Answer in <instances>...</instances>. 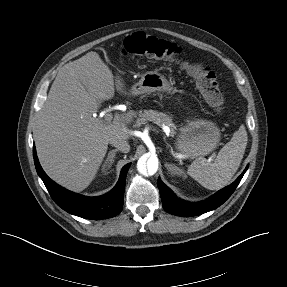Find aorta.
Returning a JSON list of instances; mask_svg holds the SVG:
<instances>
[{"instance_id": "obj_1", "label": "aorta", "mask_w": 287, "mask_h": 287, "mask_svg": "<svg viewBox=\"0 0 287 287\" xmlns=\"http://www.w3.org/2000/svg\"><path fill=\"white\" fill-rule=\"evenodd\" d=\"M138 171L143 175H153L158 170V158L150 156L149 158L141 157L137 163Z\"/></svg>"}]
</instances>
